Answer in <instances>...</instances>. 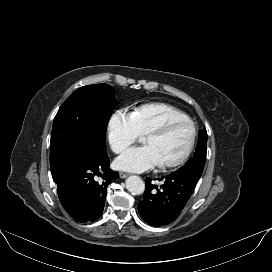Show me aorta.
I'll list each match as a JSON object with an SVG mask.
<instances>
[{"label": "aorta", "instance_id": "obj_1", "mask_svg": "<svg viewBox=\"0 0 272 272\" xmlns=\"http://www.w3.org/2000/svg\"><path fill=\"white\" fill-rule=\"evenodd\" d=\"M126 188L133 195H140L145 190V183L138 176H130L126 179Z\"/></svg>", "mask_w": 272, "mask_h": 272}]
</instances>
